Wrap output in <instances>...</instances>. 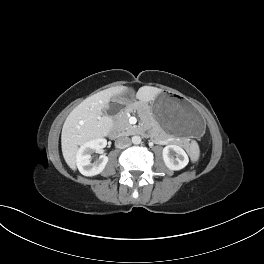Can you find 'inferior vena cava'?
<instances>
[{"label": "inferior vena cava", "mask_w": 264, "mask_h": 264, "mask_svg": "<svg viewBox=\"0 0 264 264\" xmlns=\"http://www.w3.org/2000/svg\"><path fill=\"white\" fill-rule=\"evenodd\" d=\"M130 144H131V140H130V138H128L126 136H121V137L117 138L115 141V146L117 148H120V149H123V148L130 146Z\"/></svg>", "instance_id": "602c4592"}]
</instances>
